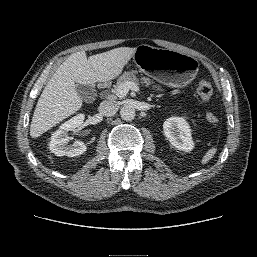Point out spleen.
<instances>
[{
	"label": "spleen",
	"mask_w": 257,
	"mask_h": 257,
	"mask_svg": "<svg viewBox=\"0 0 257 257\" xmlns=\"http://www.w3.org/2000/svg\"><path fill=\"white\" fill-rule=\"evenodd\" d=\"M217 149L216 148H210L207 150V152L205 153V155L203 156L202 160H201V164L205 165L207 164L216 154Z\"/></svg>",
	"instance_id": "1"
}]
</instances>
